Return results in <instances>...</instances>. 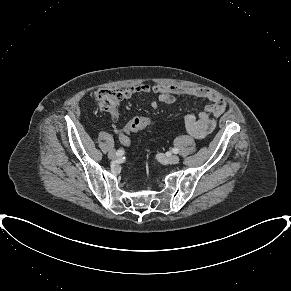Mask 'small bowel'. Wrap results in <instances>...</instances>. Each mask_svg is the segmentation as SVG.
Returning a JSON list of instances; mask_svg holds the SVG:
<instances>
[{"label": "small bowel", "mask_w": 291, "mask_h": 291, "mask_svg": "<svg viewBox=\"0 0 291 291\" xmlns=\"http://www.w3.org/2000/svg\"><path fill=\"white\" fill-rule=\"evenodd\" d=\"M157 94V100L150 102L152 109H157L159 103L172 104L175 101L176 95H189L198 98H204L210 101L205 109L198 114L190 113L184 119L185 131L196 139H204L215 128L213 116H220L226 110L225 101L215 92L206 88H186L176 85H148L140 84L124 89L123 99H129L135 94ZM112 120L116 121L119 118V112L116 107L107 111Z\"/></svg>", "instance_id": "obj_1"}]
</instances>
